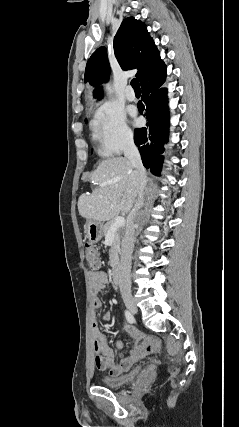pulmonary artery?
<instances>
[{"label": "pulmonary artery", "mask_w": 239, "mask_h": 427, "mask_svg": "<svg viewBox=\"0 0 239 427\" xmlns=\"http://www.w3.org/2000/svg\"><path fill=\"white\" fill-rule=\"evenodd\" d=\"M125 96H126L127 100H129V101H134L135 100V98H136L135 92L133 91V89H132L131 86H128L126 88Z\"/></svg>", "instance_id": "obj_1"}]
</instances>
